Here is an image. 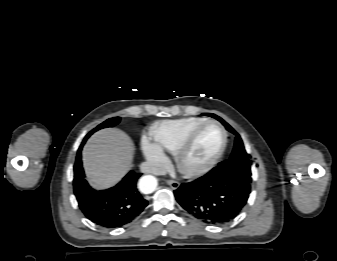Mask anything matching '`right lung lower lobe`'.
Instances as JSON below:
<instances>
[{
  "label": "right lung lower lobe",
  "instance_id": "1",
  "mask_svg": "<svg viewBox=\"0 0 337 261\" xmlns=\"http://www.w3.org/2000/svg\"><path fill=\"white\" fill-rule=\"evenodd\" d=\"M80 145L74 165V194L79 208L95 224L105 228H119L132 222L147 206L148 202L137 190L141 174L130 171L115 187L96 191L85 180Z\"/></svg>",
  "mask_w": 337,
  "mask_h": 261
}]
</instances>
